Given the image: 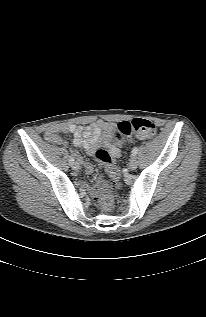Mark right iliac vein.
<instances>
[{
    "mask_svg": "<svg viewBox=\"0 0 206 317\" xmlns=\"http://www.w3.org/2000/svg\"><path fill=\"white\" fill-rule=\"evenodd\" d=\"M71 166L76 171L79 170V168H80V165L77 162H74L73 164H71Z\"/></svg>",
    "mask_w": 206,
    "mask_h": 317,
    "instance_id": "63e3f726",
    "label": "right iliac vein"
}]
</instances>
